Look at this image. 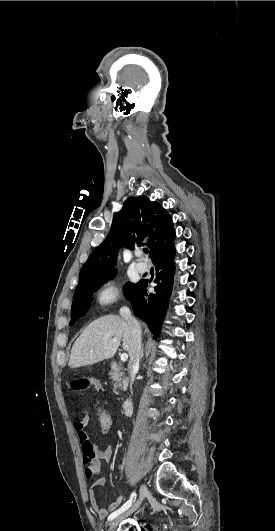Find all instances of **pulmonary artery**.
<instances>
[{
	"instance_id": "e3ab8cb5",
	"label": "pulmonary artery",
	"mask_w": 275,
	"mask_h": 531,
	"mask_svg": "<svg viewBox=\"0 0 275 531\" xmlns=\"http://www.w3.org/2000/svg\"><path fill=\"white\" fill-rule=\"evenodd\" d=\"M138 256H139L140 258H143V257H144V252H143L142 249L139 250V252H138ZM136 269H137L140 273H145V272H147V270H148V265H147V263H146L145 261L141 260L140 262L137 263V265H136Z\"/></svg>"
}]
</instances>
